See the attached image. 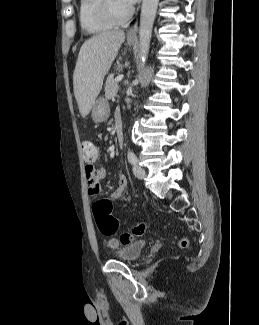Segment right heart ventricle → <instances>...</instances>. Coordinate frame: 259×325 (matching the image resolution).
<instances>
[{"label": "right heart ventricle", "instance_id": "obj_1", "mask_svg": "<svg viewBox=\"0 0 259 325\" xmlns=\"http://www.w3.org/2000/svg\"><path fill=\"white\" fill-rule=\"evenodd\" d=\"M98 0H80L78 19L81 30L86 34L95 35L109 30L113 25L103 21L97 15Z\"/></svg>", "mask_w": 259, "mask_h": 325}]
</instances>
